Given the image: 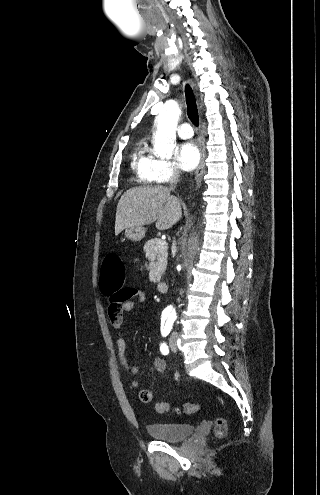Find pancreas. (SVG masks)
Returning a JSON list of instances; mask_svg holds the SVG:
<instances>
[{
	"instance_id": "cf45deb5",
	"label": "pancreas",
	"mask_w": 320,
	"mask_h": 495,
	"mask_svg": "<svg viewBox=\"0 0 320 495\" xmlns=\"http://www.w3.org/2000/svg\"><path fill=\"white\" fill-rule=\"evenodd\" d=\"M160 239H151L144 245V251L146 257L150 261L149 269L153 271L152 281L158 282L161 279V275L166 270L168 247L167 244L159 246Z\"/></svg>"
}]
</instances>
